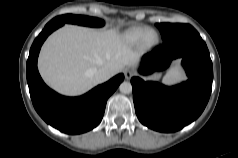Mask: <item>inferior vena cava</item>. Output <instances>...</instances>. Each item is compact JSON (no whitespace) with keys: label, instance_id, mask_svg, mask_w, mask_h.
<instances>
[{"label":"inferior vena cava","instance_id":"602c4592","mask_svg":"<svg viewBox=\"0 0 238 158\" xmlns=\"http://www.w3.org/2000/svg\"><path fill=\"white\" fill-rule=\"evenodd\" d=\"M90 73L93 75V77L98 83L105 82L110 78L109 70L104 67L91 69Z\"/></svg>","mask_w":238,"mask_h":158}]
</instances>
